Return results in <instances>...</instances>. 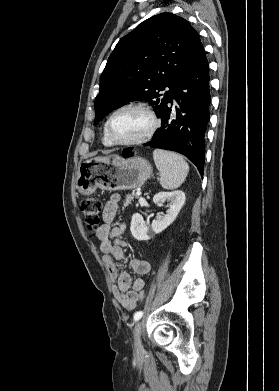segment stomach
I'll list each match as a JSON object with an SVG mask.
<instances>
[{
  "mask_svg": "<svg viewBox=\"0 0 279 391\" xmlns=\"http://www.w3.org/2000/svg\"><path fill=\"white\" fill-rule=\"evenodd\" d=\"M151 174V164L141 157H97L79 166L76 188L83 195H91L97 188L131 190L141 187Z\"/></svg>",
  "mask_w": 279,
  "mask_h": 391,
  "instance_id": "obj_1",
  "label": "stomach"
}]
</instances>
